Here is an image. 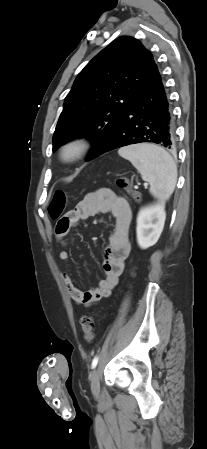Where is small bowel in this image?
Wrapping results in <instances>:
<instances>
[{"mask_svg": "<svg viewBox=\"0 0 207 449\" xmlns=\"http://www.w3.org/2000/svg\"><path fill=\"white\" fill-rule=\"evenodd\" d=\"M98 213L109 214L114 221L113 231L105 252L104 278L97 288L82 291L73 283L67 273H63L64 283L69 295L77 304L83 306H90L108 297L117 286L131 250L130 224L132 210L125 198L110 189L103 188L87 194L74 209L67 212L56 224L57 237L64 243V237L80 221ZM59 258L68 262L70 256L66 250H62L59 252Z\"/></svg>", "mask_w": 207, "mask_h": 449, "instance_id": "obj_1", "label": "small bowel"}]
</instances>
